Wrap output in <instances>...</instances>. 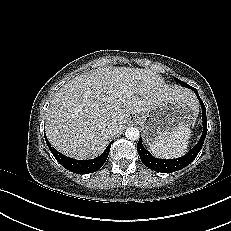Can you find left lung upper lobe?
<instances>
[{"mask_svg":"<svg viewBox=\"0 0 231 231\" xmlns=\"http://www.w3.org/2000/svg\"><path fill=\"white\" fill-rule=\"evenodd\" d=\"M175 80H176L180 85L184 86L185 82H183V81H181V80H179V79H177V78H175Z\"/></svg>","mask_w":231,"mask_h":231,"instance_id":"obj_1","label":"left lung upper lobe"}]
</instances>
